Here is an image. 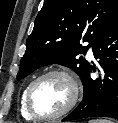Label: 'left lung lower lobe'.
<instances>
[{
  "label": "left lung lower lobe",
  "instance_id": "left-lung-lower-lobe-1",
  "mask_svg": "<svg viewBox=\"0 0 118 123\" xmlns=\"http://www.w3.org/2000/svg\"><path fill=\"white\" fill-rule=\"evenodd\" d=\"M98 59L99 78L90 77L92 67L87 69L82 83L84 97L81 103L62 121L89 117H111L118 119V18L99 36L93 47Z\"/></svg>",
  "mask_w": 118,
  "mask_h": 123
}]
</instances>
